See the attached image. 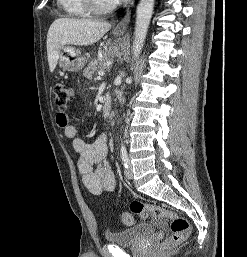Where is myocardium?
<instances>
[{
	"label": "myocardium",
	"mask_w": 247,
	"mask_h": 257,
	"mask_svg": "<svg viewBox=\"0 0 247 257\" xmlns=\"http://www.w3.org/2000/svg\"><path fill=\"white\" fill-rule=\"evenodd\" d=\"M85 7L92 14H105L112 11L118 2L111 1L106 5H101L97 2V0H83Z\"/></svg>",
	"instance_id": "obj_1"
}]
</instances>
